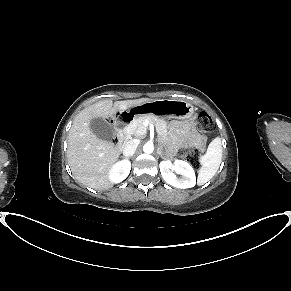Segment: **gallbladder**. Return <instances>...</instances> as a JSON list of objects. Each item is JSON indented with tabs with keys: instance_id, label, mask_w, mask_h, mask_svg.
<instances>
[{
	"instance_id": "1",
	"label": "gallbladder",
	"mask_w": 291,
	"mask_h": 291,
	"mask_svg": "<svg viewBox=\"0 0 291 291\" xmlns=\"http://www.w3.org/2000/svg\"><path fill=\"white\" fill-rule=\"evenodd\" d=\"M90 129L99 139L104 141L109 142L114 136L111 125L102 118H93L90 122Z\"/></svg>"
}]
</instances>
